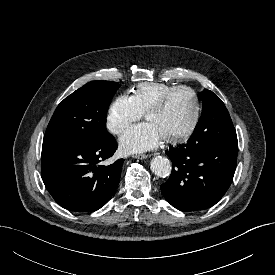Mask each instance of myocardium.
<instances>
[{
	"mask_svg": "<svg viewBox=\"0 0 275 275\" xmlns=\"http://www.w3.org/2000/svg\"><path fill=\"white\" fill-rule=\"evenodd\" d=\"M181 90H185L191 93L193 100H194V113H193V118L192 121L189 125V127L181 134L173 136V137H168L165 138V142L167 143H172V144H177V143H182L186 140H188L193 133L195 132L199 119H200V112H201V105H200V100L198 93L190 86L187 85H178L170 88L166 92H164L150 107L146 110L144 113L145 118L147 117L148 114L152 112H157L161 110L168 99L175 93Z\"/></svg>",
	"mask_w": 275,
	"mask_h": 275,
	"instance_id": "f54148a6",
	"label": "myocardium"
}]
</instances>
